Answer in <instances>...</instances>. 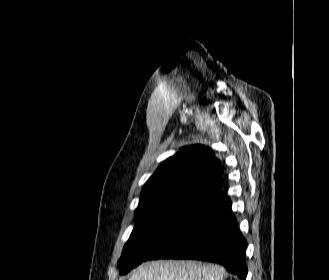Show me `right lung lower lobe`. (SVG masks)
<instances>
[{"label":"right lung lower lobe","instance_id":"right-lung-lower-lobe-1","mask_svg":"<svg viewBox=\"0 0 329 280\" xmlns=\"http://www.w3.org/2000/svg\"><path fill=\"white\" fill-rule=\"evenodd\" d=\"M246 245L232 215L229 198L216 192L203 209L149 260L173 258L217 262L245 280L248 272Z\"/></svg>","mask_w":329,"mask_h":280}]
</instances>
